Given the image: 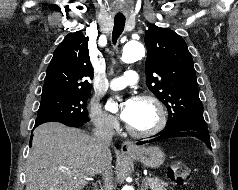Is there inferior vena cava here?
Wrapping results in <instances>:
<instances>
[{
  "label": "inferior vena cava",
  "instance_id": "1",
  "mask_svg": "<svg viewBox=\"0 0 238 190\" xmlns=\"http://www.w3.org/2000/svg\"><path fill=\"white\" fill-rule=\"evenodd\" d=\"M94 140L100 156L104 155L105 151L108 149L112 142L114 135V129L111 122L108 119H99L95 122V129L93 130ZM103 169L101 171L102 179L104 181L103 189L101 190H111V177L106 168L104 160L102 161Z\"/></svg>",
  "mask_w": 238,
  "mask_h": 190
}]
</instances>
